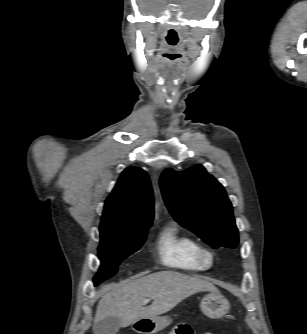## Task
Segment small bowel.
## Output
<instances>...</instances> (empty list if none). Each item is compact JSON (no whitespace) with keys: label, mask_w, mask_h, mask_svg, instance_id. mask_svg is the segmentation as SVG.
<instances>
[{"label":"small bowel","mask_w":307,"mask_h":334,"mask_svg":"<svg viewBox=\"0 0 307 334\" xmlns=\"http://www.w3.org/2000/svg\"><path fill=\"white\" fill-rule=\"evenodd\" d=\"M172 334H194L189 328L178 327ZM203 334H213L211 332H205Z\"/></svg>","instance_id":"c3829d8e"}]
</instances>
